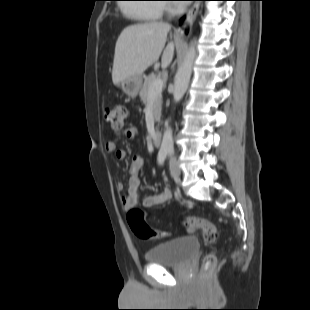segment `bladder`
Segmentation results:
<instances>
[{
	"mask_svg": "<svg viewBox=\"0 0 310 310\" xmlns=\"http://www.w3.org/2000/svg\"><path fill=\"white\" fill-rule=\"evenodd\" d=\"M199 242L192 236H183L150 248L145 258L149 264L181 266L191 261L199 252Z\"/></svg>",
	"mask_w": 310,
	"mask_h": 310,
	"instance_id": "1",
	"label": "bladder"
}]
</instances>
